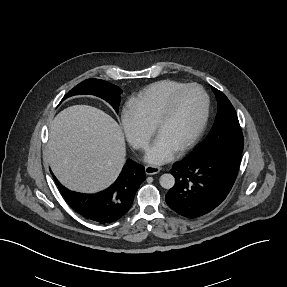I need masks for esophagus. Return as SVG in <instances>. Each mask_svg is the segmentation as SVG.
<instances>
[{"instance_id":"obj_1","label":"esophagus","mask_w":287,"mask_h":287,"mask_svg":"<svg viewBox=\"0 0 287 287\" xmlns=\"http://www.w3.org/2000/svg\"><path fill=\"white\" fill-rule=\"evenodd\" d=\"M161 171V168L158 166H154V165H148L145 167V173L147 175H154L157 174Z\"/></svg>"}]
</instances>
